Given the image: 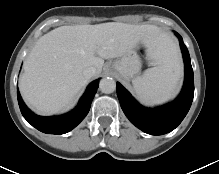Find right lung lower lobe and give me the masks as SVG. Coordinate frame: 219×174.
<instances>
[{
    "label": "right lung lower lobe",
    "mask_w": 219,
    "mask_h": 174,
    "mask_svg": "<svg viewBox=\"0 0 219 174\" xmlns=\"http://www.w3.org/2000/svg\"><path fill=\"white\" fill-rule=\"evenodd\" d=\"M98 84L99 80L92 82L80 99L78 106L61 116L42 117L34 114L26 107L17 91L19 107L23 117L39 131L48 134H64L75 128L87 115Z\"/></svg>",
    "instance_id": "98d812e1"
}]
</instances>
